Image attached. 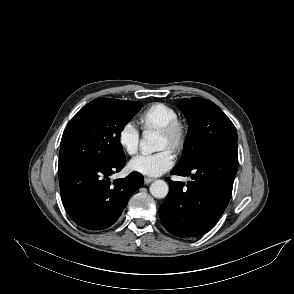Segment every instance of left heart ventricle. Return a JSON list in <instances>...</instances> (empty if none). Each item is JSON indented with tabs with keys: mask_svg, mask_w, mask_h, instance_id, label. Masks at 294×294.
<instances>
[{
	"mask_svg": "<svg viewBox=\"0 0 294 294\" xmlns=\"http://www.w3.org/2000/svg\"><path fill=\"white\" fill-rule=\"evenodd\" d=\"M159 149H166V148H169V139L162 135V134H159Z\"/></svg>",
	"mask_w": 294,
	"mask_h": 294,
	"instance_id": "b2bd125f",
	"label": "left heart ventricle"
}]
</instances>
